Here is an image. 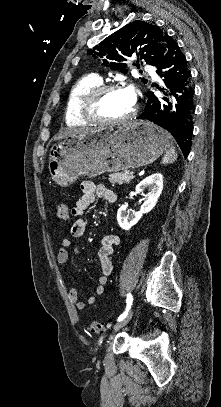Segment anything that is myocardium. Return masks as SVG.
Returning a JSON list of instances; mask_svg holds the SVG:
<instances>
[{
  "label": "myocardium",
  "mask_w": 221,
  "mask_h": 407,
  "mask_svg": "<svg viewBox=\"0 0 221 407\" xmlns=\"http://www.w3.org/2000/svg\"><path fill=\"white\" fill-rule=\"evenodd\" d=\"M119 89L123 88L120 85L114 83L101 84L100 86L93 89L81 103V111L83 113L84 118L89 122L101 124H118L132 119L137 113L136 104L134 105L130 113L115 119L104 117L99 110L100 104L104 96L111 91Z\"/></svg>",
  "instance_id": "obj_1"
}]
</instances>
